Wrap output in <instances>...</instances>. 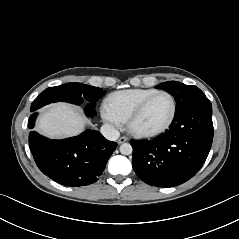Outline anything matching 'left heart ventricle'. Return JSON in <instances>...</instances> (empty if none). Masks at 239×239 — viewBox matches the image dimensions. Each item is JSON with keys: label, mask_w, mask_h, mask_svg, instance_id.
I'll return each mask as SVG.
<instances>
[{"label": "left heart ventricle", "mask_w": 239, "mask_h": 239, "mask_svg": "<svg viewBox=\"0 0 239 239\" xmlns=\"http://www.w3.org/2000/svg\"><path fill=\"white\" fill-rule=\"evenodd\" d=\"M172 113V101L167 95H158L145 107L135 121V128L142 131H151L163 126Z\"/></svg>", "instance_id": "1"}]
</instances>
